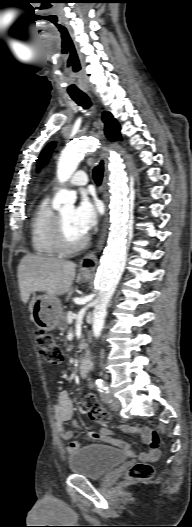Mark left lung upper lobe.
Instances as JSON below:
<instances>
[{
	"mask_svg": "<svg viewBox=\"0 0 192 527\" xmlns=\"http://www.w3.org/2000/svg\"><path fill=\"white\" fill-rule=\"evenodd\" d=\"M105 123V135L110 141L121 140L120 126L118 122L113 118L109 112H104L102 117ZM55 146V142L50 143L41 153L38 160V168L48 159L52 149Z\"/></svg>",
	"mask_w": 192,
	"mask_h": 527,
	"instance_id": "left-lung-upper-lobe-1",
	"label": "left lung upper lobe"
}]
</instances>
